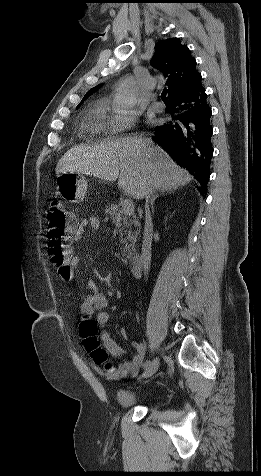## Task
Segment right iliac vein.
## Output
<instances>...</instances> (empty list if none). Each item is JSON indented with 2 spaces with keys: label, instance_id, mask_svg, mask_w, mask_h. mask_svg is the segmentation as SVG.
I'll list each match as a JSON object with an SVG mask.
<instances>
[{
  "label": "right iliac vein",
  "instance_id": "63e3f726",
  "mask_svg": "<svg viewBox=\"0 0 261 476\" xmlns=\"http://www.w3.org/2000/svg\"><path fill=\"white\" fill-rule=\"evenodd\" d=\"M158 367H159V359L155 358L154 360H152L149 366L145 369L142 376L144 378L151 377L158 370Z\"/></svg>",
  "mask_w": 261,
  "mask_h": 476
}]
</instances>
